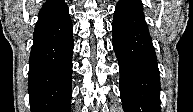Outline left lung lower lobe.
Masks as SVG:
<instances>
[{
    "mask_svg": "<svg viewBox=\"0 0 193 112\" xmlns=\"http://www.w3.org/2000/svg\"><path fill=\"white\" fill-rule=\"evenodd\" d=\"M112 35L124 111L161 112L159 69L141 0H119Z\"/></svg>",
    "mask_w": 193,
    "mask_h": 112,
    "instance_id": "0a47b994",
    "label": "left lung lower lobe"
}]
</instances>
